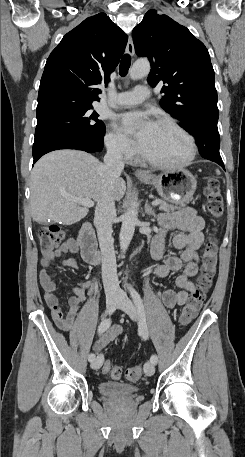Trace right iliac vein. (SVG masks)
I'll return each instance as SVG.
<instances>
[{"mask_svg":"<svg viewBox=\"0 0 245 457\" xmlns=\"http://www.w3.org/2000/svg\"><path fill=\"white\" fill-rule=\"evenodd\" d=\"M119 302V297H109L106 301V308L108 314H112L114 310L116 309V306ZM104 361V357L102 354L98 355L96 359L91 363V368L98 370Z\"/></svg>","mask_w":245,"mask_h":457,"instance_id":"63e3f726","label":"right iliac vein"}]
</instances>
